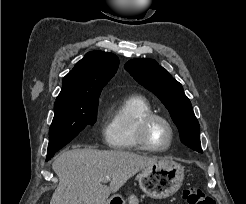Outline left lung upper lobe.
Wrapping results in <instances>:
<instances>
[{
    "mask_svg": "<svg viewBox=\"0 0 246 204\" xmlns=\"http://www.w3.org/2000/svg\"><path fill=\"white\" fill-rule=\"evenodd\" d=\"M124 68L165 105L179 130L181 142L197 152H202L199 123L181 84L155 60L132 59Z\"/></svg>",
    "mask_w": 246,
    "mask_h": 204,
    "instance_id": "obj_1",
    "label": "left lung upper lobe"
}]
</instances>
